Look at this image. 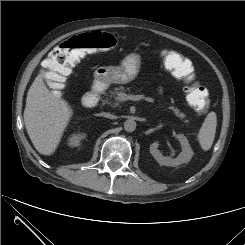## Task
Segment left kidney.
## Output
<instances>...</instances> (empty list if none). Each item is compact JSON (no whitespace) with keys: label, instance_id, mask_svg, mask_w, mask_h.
Instances as JSON below:
<instances>
[{"label":"left kidney","instance_id":"left-kidney-1","mask_svg":"<svg viewBox=\"0 0 245 245\" xmlns=\"http://www.w3.org/2000/svg\"><path fill=\"white\" fill-rule=\"evenodd\" d=\"M176 137L182 146V152L174 159L162 155L158 150V142H153L150 145V153L160 165L175 167L183 163H188L193 157V151L189 145L188 139L183 134H178Z\"/></svg>","mask_w":245,"mask_h":245}]
</instances>
